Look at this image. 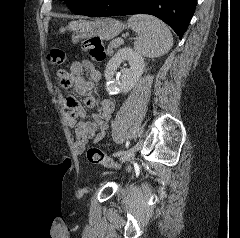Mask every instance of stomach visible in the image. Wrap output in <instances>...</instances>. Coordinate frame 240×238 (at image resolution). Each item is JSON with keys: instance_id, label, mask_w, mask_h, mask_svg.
I'll return each mask as SVG.
<instances>
[{"instance_id": "stomach-1", "label": "stomach", "mask_w": 240, "mask_h": 238, "mask_svg": "<svg viewBox=\"0 0 240 238\" xmlns=\"http://www.w3.org/2000/svg\"><path fill=\"white\" fill-rule=\"evenodd\" d=\"M125 25L116 19L101 18L94 21H81V26L72 31V43L77 44L81 39L99 37L102 40H110L116 37Z\"/></svg>"}]
</instances>
